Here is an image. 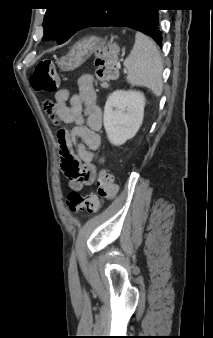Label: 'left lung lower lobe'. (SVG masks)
<instances>
[{
    "label": "left lung lower lobe",
    "instance_id": "0a47b994",
    "mask_svg": "<svg viewBox=\"0 0 213 338\" xmlns=\"http://www.w3.org/2000/svg\"><path fill=\"white\" fill-rule=\"evenodd\" d=\"M125 26L149 35L159 46L162 34L158 8L151 0H105L84 20L80 29Z\"/></svg>",
    "mask_w": 213,
    "mask_h": 338
}]
</instances>
